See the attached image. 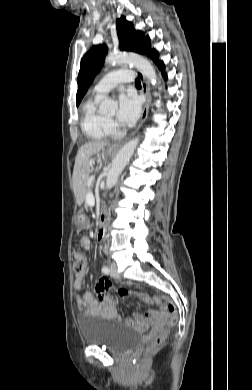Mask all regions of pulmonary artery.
I'll list each match as a JSON object with an SVG mask.
<instances>
[{
	"instance_id": "pulmonary-artery-1",
	"label": "pulmonary artery",
	"mask_w": 252,
	"mask_h": 390,
	"mask_svg": "<svg viewBox=\"0 0 252 390\" xmlns=\"http://www.w3.org/2000/svg\"><path fill=\"white\" fill-rule=\"evenodd\" d=\"M134 80V72L127 69H117L106 74L93 88L94 96L105 95L117 85Z\"/></svg>"
}]
</instances>
